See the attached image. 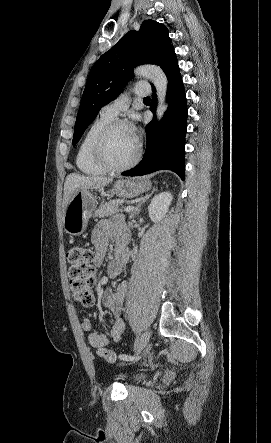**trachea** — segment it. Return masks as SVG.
Segmentation results:
<instances>
[{
	"label": "trachea",
	"mask_w": 271,
	"mask_h": 443,
	"mask_svg": "<svg viewBox=\"0 0 271 443\" xmlns=\"http://www.w3.org/2000/svg\"><path fill=\"white\" fill-rule=\"evenodd\" d=\"M150 100V97H145L144 101Z\"/></svg>",
	"instance_id": "3493384b"
}]
</instances>
